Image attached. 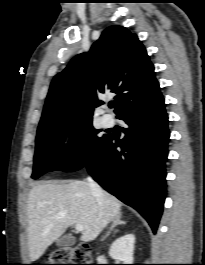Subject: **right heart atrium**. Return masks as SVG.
Instances as JSON below:
<instances>
[{
	"label": "right heart atrium",
	"mask_w": 205,
	"mask_h": 265,
	"mask_svg": "<svg viewBox=\"0 0 205 265\" xmlns=\"http://www.w3.org/2000/svg\"><path fill=\"white\" fill-rule=\"evenodd\" d=\"M79 144H80V142L78 139H76V138L71 139L69 142L70 150H72V151L76 150L79 147Z\"/></svg>",
	"instance_id": "right-heart-atrium-1"
}]
</instances>
